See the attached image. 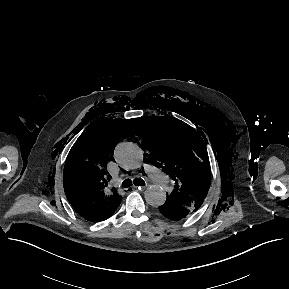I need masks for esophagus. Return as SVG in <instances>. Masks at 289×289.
I'll return each mask as SVG.
<instances>
[{"label": "esophagus", "instance_id": "34e87169", "mask_svg": "<svg viewBox=\"0 0 289 289\" xmlns=\"http://www.w3.org/2000/svg\"><path fill=\"white\" fill-rule=\"evenodd\" d=\"M134 188H138L139 190H144L146 188V185H144V186H134Z\"/></svg>", "mask_w": 289, "mask_h": 289}]
</instances>
